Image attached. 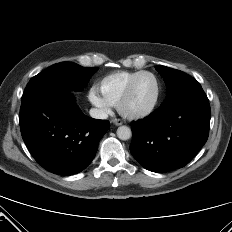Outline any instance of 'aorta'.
<instances>
[{
	"mask_svg": "<svg viewBox=\"0 0 232 232\" xmlns=\"http://www.w3.org/2000/svg\"><path fill=\"white\" fill-rule=\"evenodd\" d=\"M132 132L128 126H120L117 129V136L120 140H128L131 138Z\"/></svg>",
	"mask_w": 232,
	"mask_h": 232,
	"instance_id": "1",
	"label": "aorta"
}]
</instances>
